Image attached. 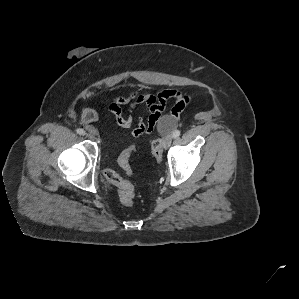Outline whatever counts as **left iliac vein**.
Masks as SVG:
<instances>
[{"mask_svg":"<svg viewBox=\"0 0 299 299\" xmlns=\"http://www.w3.org/2000/svg\"><path fill=\"white\" fill-rule=\"evenodd\" d=\"M172 135L171 134H168L164 137L163 139V145L165 148H168L170 145H171V142H172Z\"/></svg>","mask_w":299,"mask_h":299,"instance_id":"4c4485c4","label":"left iliac vein"}]
</instances>
